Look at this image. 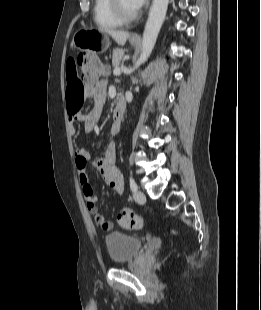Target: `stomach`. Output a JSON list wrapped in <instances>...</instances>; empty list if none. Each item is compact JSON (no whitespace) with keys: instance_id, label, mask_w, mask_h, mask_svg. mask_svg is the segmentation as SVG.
<instances>
[{"instance_id":"stomach-1","label":"stomach","mask_w":261,"mask_h":310,"mask_svg":"<svg viewBox=\"0 0 261 310\" xmlns=\"http://www.w3.org/2000/svg\"><path fill=\"white\" fill-rule=\"evenodd\" d=\"M132 45L137 43L130 41ZM73 45L82 51L92 50L94 52H104L109 47V37L106 33L94 29H81L77 31L72 40Z\"/></svg>"}]
</instances>
